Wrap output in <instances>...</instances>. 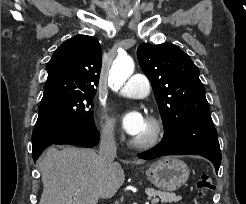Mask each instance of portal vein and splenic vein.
Instances as JSON below:
<instances>
[{
  "instance_id": "portal-vein-and-splenic-vein-1",
  "label": "portal vein and splenic vein",
  "mask_w": 246,
  "mask_h": 204,
  "mask_svg": "<svg viewBox=\"0 0 246 204\" xmlns=\"http://www.w3.org/2000/svg\"><path fill=\"white\" fill-rule=\"evenodd\" d=\"M158 202H159V198H154V199L151 200V203L152 204H156Z\"/></svg>"
}]
</instances>
